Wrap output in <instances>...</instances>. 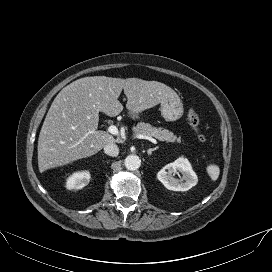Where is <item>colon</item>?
<instances>
[{"mask_svg":"<svg viewBox=\"0 0 272 272\" xmlns=\"http://www.w3.org/2000/svg\"><path fill=\"white\" fill-rule=\"evenodd\" d=\"M188 122L191 128L194 130L196 133V136L199 141L201 142H206L207 141V136L206 134L201 130L200 127V116L198 112L194 109H190L188 112Z\"/></svg>","mask_w":272,"mask_h":272,"instance_id":"colon-1","label":"colon"}]
</instances>
